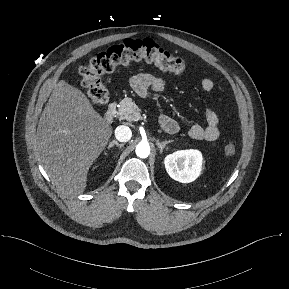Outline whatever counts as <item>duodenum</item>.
<instances>
[{
  "instance_id": "obj_1",
  "label": "duodenum",
  "mask_w": 289,
  "mask_h": 289,
  "mask_svg": "<svg viewBox=\"0 0 289 289\" xmlns=\"http://www.w3.org/2000/svg\"><path fill=\"white\" fill-rule=\"evenodd\" d=\"M116 113V105L115 104H110L105 112V120L107 122H111L114 119Z\"/></svg>"
}]
</instances>
